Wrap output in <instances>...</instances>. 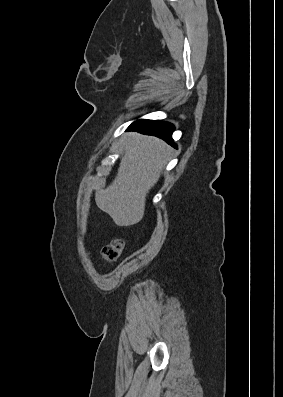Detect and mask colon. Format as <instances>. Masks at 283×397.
Segmentation results:
<instances>
[{"mask_svg": "<svg viewBox=\"0 0 283 397\" xmlns=\"http://www.w3.org/2000/svg\"><path fill=\"white\" fill-rule=\"evenodd\" d=\"M123 247L124 242L120 239H115L102 248L100 258L106 262L116 261L120 257Z\"/></svg>", "mask_w": 283, "mask_h": 397, "instance_id": "obj_1", "label": "colon"}]
</instances>
